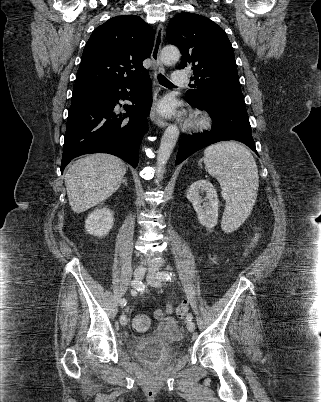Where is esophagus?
Masks as SVG:
<instances>
[{
  "label": "esophagus",
  "instance_id": "34e87169",
  "mask_svg": "<svg viewBox=\"0 0 321 402\" xmlns=\"http://www.w3.org/2000/svg\"><path fill=\"white\" fill-rule=\"evenodd\" d=\"M164 35V27L162 24H159L155 33L154 46L151 53V58L153 61L152 64V75H153V84L155 86L154 97H153V106L150 113L151 120L161 128L167 126V122L158 114V105L162 98V90L158 84V73H164L165 69L160 60V50L163 41Z\"/></svg>",
  "mask_w": 321,
  "mask_h": 402
}]
</instances>
